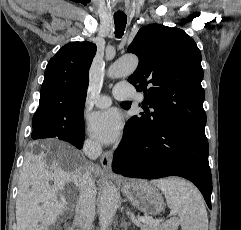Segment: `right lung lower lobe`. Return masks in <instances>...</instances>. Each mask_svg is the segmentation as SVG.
Here are the masks:
<instances>
[{
  "label": "right lung lower lobe",
  "mask_w": 241,
  "mask_h": 230,
  "mask_svg": "<svg viewBox=\"0 0 241 230\" xmlns=\"http://www.w3.org/2000/svg\"><path fill=\"white\" fill-rule=\"evenodd\" d=\"M35 115H39V114H35ZM53 135H57V133H53ZM83 141L84 140H82V141H75V140H68L67 142H69V143H71L73 146H75L76 148H78V149H81L82 148V146H83Z\"/></svg>",
  "instance_id": "obj_1"
}]
</instances>
